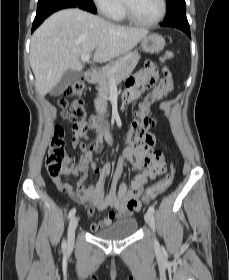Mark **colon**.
Here are the masks:
<instances>
[{"instance_id":"1","label":"colon","mask_w":229,"mask_h":280,"mask_svg":"<svg viewBox=\"0 0 229 280\" xmlns=\"http://www.w3.org/2000/svg\"><path fill=\"white\" fill-rule=\"evenodd\" d=\"M172 58L173 53L171 51H166L161 57V61L165 62ZM162 72L164 78L161 82V88L165 92H170L173 88L171 73L167 68H163ZM85 94L86 83L83 78H78L66 87L64 97L59 99V106L65 109L68 106L65 97L71 99V105L67 114L73 128L71 141L87 151H98L100 146L96 140L82 141L83 139H86L92 125V122L86 117V111L84 108ZM146 99L151 101L152 97L148 95ZM153 124L154 120L149 114L146 115L137 111L133 116V120L126 136L128 143L135 145L138 142L143 141L147 136L148 128ZM68 160L69 154L67 152V141L64 138L62 129L57 127L50 142L49 151L46 157V168L49 176L58 182L60 190L65 192H75L74 186L68 182L61 173L62 168L66 165ZM144 166L152 173L160 174L165 168L163 153L159 150H154L149 153L144 160ZM172 181L173 174H167L155 185L146 189L143 193L144 200H148L165 191L171 185ZM130 205L134 208H140L141 202L138 199H133L130 201Z\"/></svg>"}]
</instances>
